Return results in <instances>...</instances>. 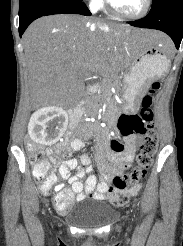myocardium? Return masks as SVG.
<instances>
[{
	"instance_id": "1",
	"label": "myocardium",
	"mask_w": 183,
	"mask_h": 246,
	"mask_svg": "<svg viewBox=\"0 0 183 246\" xmlns=\"http://www.w3.org/2000/svg\"><path fill=\"white\" fill-rule=\"evenodd\" d=\"M151 4H152V0H145L143 8L138 13L127 15L116 10L111 0H105V6L107 11L114 17H117L122 20H137L144 17L150 10Z\"/></svg>"
}]
</instances>
